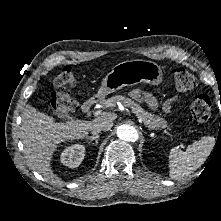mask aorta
<instances>
[{"label": "aorta", "instance_id": "762f6f07", "mask_svg": "<svg viewBox=\"0 0 221 221\" xmlns=\"http://www.w3.org/2000/svg\"><path fill=\"white\" fill-rule=\"evenodd\" d=\"M117 136L119 139L127 142H135L139 138L137 130L130 125H120L117 127Z\"/></svg>", "mask_w": 221, "mask_h": 221}]
</instances>
